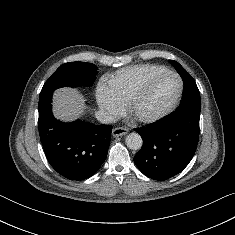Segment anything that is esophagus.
<instances>
[{
	"instance_id": "esophagus-1",
	"label": "esophagus",
	"mask_w": 235,
	"mask_h": 235,
	"mask_svg": "<svg viewBox=\"0 0 235 235\" xmlns=\"http://www.w3.org/2000/svg\"><path fill=\"white\" fill-rule=\"evenodd\" d=\"M128 133V130L125 128L117 127L112 130V135L114 137L123 136Z\"/></svg>"
}]
</instances>
